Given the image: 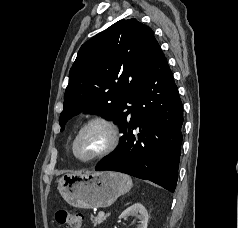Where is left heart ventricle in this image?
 <instances>
[{"mask_svg":"<svg viewBox=\"0 0 238 228\" xmlns=\"http://www.w3.org/2000/svg\"><path fill=\"white\" fill-rule=\"evenodd\" d=\"M108 140L107 132L101 126H93L85 131L76 145V153L81 158H89L106 145Z\"/></svg>","mask_w":238,"mask_h":228,"instance_id":"obj_1","label":"left heart ventricle"}]
</instances>
